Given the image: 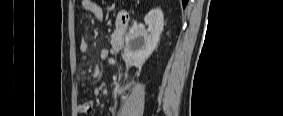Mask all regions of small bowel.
I'll return each mask as SVG.
<instances>
[{
    "mask_svg": "<svg viewBox=\"0 0 283 116\" xmlns=\"http://www.w3.org/2000/svg\"><path fill=\"white\" fill-rule=\"evenodd\" d=\"M82 8L94 15L97 19L99 20H103L104 19V12L102 10V8L100 6H98L95 2L91 1V0H83L82 1ZM89 49V44L87 41L82 40L79 43V51L82 53V60L86 61L88 59L87 56V52ZM107 52H103L102 53V57L106 58L107 57ZM93 109V102L92 101H86L84 103H82L79 107V110L83 113H90ZM110 111L112 113V115H116L117 113V106L113 105L110 107Z\"/></svg>",
    "mask_w": 283,
    "mask_h": 116,
    "instance_id": "1",
    "label": "small bowel"
}]
</instances>
